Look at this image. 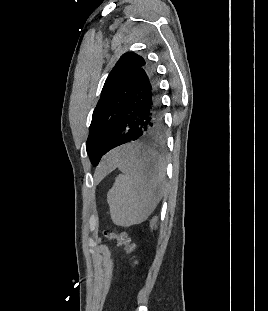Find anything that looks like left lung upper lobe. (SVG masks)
<instances>
[{"label": "left lung upper lobe", "mask_w": 268, "mask_h": 311, "mask_svg": "<svg viewBox=\"0 0 268 311\" xmlns=\"http://www.w3.org/2000/svg\"><path fill=\"white\" fill-rule=\"evenodd\" d=\"M146 62L142 56L127 52L109 73L94 109L86 142V150L94 166L98 165L112 136L121 127L123 112L138 72Z\"/></svg>", "instance_id": "5c2ea615"}]
</instances>
